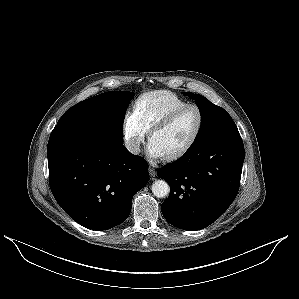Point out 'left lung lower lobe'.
Instances as JSON below:
<instances>
[{
	"label": "left lung lower lobe",
	"instance_id": "obj_1",
	"mask_svg": "<svg viewBox=\"0 0 299 299\" xmlns=\"http://www.w3.org/2000/svg\"><path fill=\"white\" fill-rule=\"evenodd\" d=\"M244 155L241 136L232 122L159 169L157 175L171 190L161 205L165 219L188 231L217 220L237 195Z\"/></svg>",
	"mask_w": 299,
	"mask_h": 299
}]
</instances>
